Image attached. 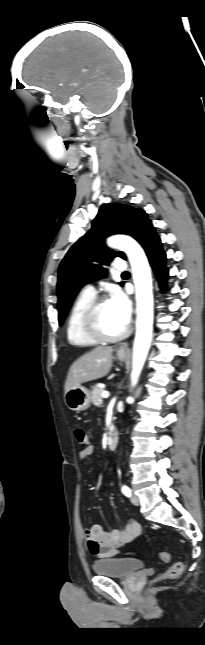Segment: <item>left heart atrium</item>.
Wrapping results in <instances>:
<instances>
[{
	"mask_svg": "<svg viewBox=\"0 0 205 645\" xmlns=\"http://www.w3.org/2000/svg\"><path fill=\"white\" fill-rule=\"evenodd\" d=\"M110 304L117 312L125 326L128 325L131 318V302L128 297L120 290H114L109 299Z\"/></svg>",
	"mask_w": 205,
	"mask_h": 645,
	"instance_id": "39dd6f15",
	"label": "left heart atrium"
}]
</instances>
